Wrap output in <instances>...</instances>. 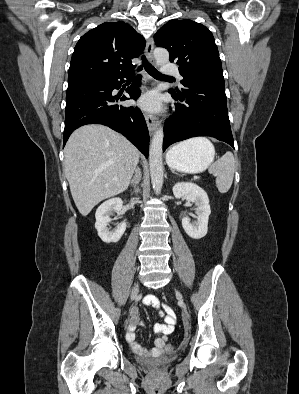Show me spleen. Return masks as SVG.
<instances>
[{
	"mask_svg": "<svg viewBox=\"0 0 299 394\" xmlns=\"http://www.w3.org/2000/svg\"><path fill=\"white\" fill-rule=\"evenodd\" d=\"M202 143L206 145H212L208 139L205 138H195L181 143ZM235 172V159L233 153L230 151L226 152L220 159L214 162L210 168L209 173L217 175L216 186L218 191L222 194L228 192L231 188L233 177Z\"/></svg>",
	"mask_w": 299,
	"mask_h": 394,
	"instance_id": "obj_1",
	"label": "spleen"
}]
</instances>
